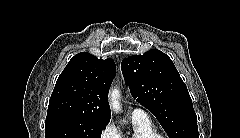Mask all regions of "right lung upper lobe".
Returning <instances> with one entry per match:
<instances>
[{
  "instance_id": "cb5924a9",
  "label": "right lung upper lobe",
  "mask_w": 240,
  "mask_h": 138,
  "mask_svg": "<svg viewBox=\"0 0 240 138\" xmlns=\"http://www.w3.org/2000/svg\"><path fill=\"white\" fill-rule=\"evenodd\" d=\"M115 75L112 59L102 60L87 52L78 53L56 82L47 117L73 115L109 122L108 92Z\"/></svg>"
}]
</instances>
